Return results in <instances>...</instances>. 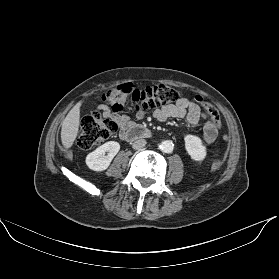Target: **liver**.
Instances as JSON below:
<instances>
[{
	"mask_svg": "<svg viewBox=\"0 0 279 279\" xmlns=\"http://www.w3.org/2000/svg\"><path fill=\"white\" fill-rule=\"evenodd\" d=\"M82 105V101H79L67 114L65 119L62 122L61 128V141L65 149H69L79 131L80 124V107Z\"/></svg>",
	"mask_w": 279,
	"mask_h": 279,
	"instance_id": "1",
	"label": "liver"
}]
</instances>
